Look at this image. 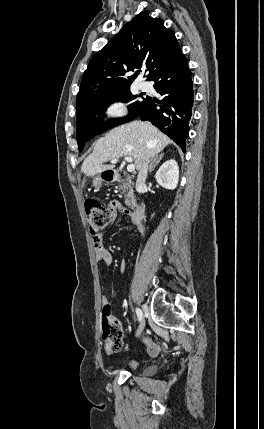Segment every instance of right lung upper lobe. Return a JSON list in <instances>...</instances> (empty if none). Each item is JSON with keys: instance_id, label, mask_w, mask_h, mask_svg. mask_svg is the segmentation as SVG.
Returning <instances> with one entry per match:
<instances>
[{"instance_id": "obj_1", "label": "right lung upper lobe", "mask_w": 264, "mask_h": 429, "mask_svg": "<svg viewBox=\"0 0 264 429\" xmlns=\"http://www.w3.org/2000/svg\"><path fill=\"white\" fill-rule=\"evenodd\" d=\"M180 50L174 32L164 27L162 19L152 18L148 11L139 13L92 57L82 77L76 107L129 88L142 65L148 68L151 80ZM134 70L129 81L124 78L127 71Z\"/></svg>"}]
</instances>
